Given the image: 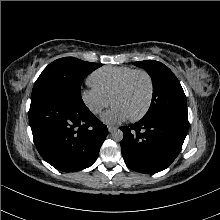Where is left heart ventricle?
Listing matches in <instances>:
<instances>
[{"instance_id":"obj_1","label":"left heart ventricle","mask_w":220,"mask_h":220,"mask_svg":"<svg viewBox=\"0 0 220 220\" xmlns=\"http://www.w3.org/2000/svg\"><path fill=\"white\" fill-rule=\"evenodd\" d=\"M148 94V81L144 75L138 74L133 77L126 89L113 99V105L122 107L131 117L143 110Z\"/></svg>"}]
</instances>
